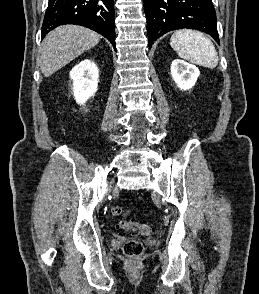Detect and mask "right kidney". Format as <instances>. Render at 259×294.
<instances>
[{
  "instance_id": "1",
  "label": "right kidney",
  "mask_w": 259,
  "mask_h": 294,
  "mask_svg": "<svg viewBox=\"0 0 259 294\" xmlns=\"http://www.w3.org/2000/svg\"><path fill=\"white\" fill-rule=\"evenodd\" d=\"M70 78L73 80L75 100L83 105L97 91L99 70L93 61L86 59L72 68Z\"/></svg>"
}]
</instances>
